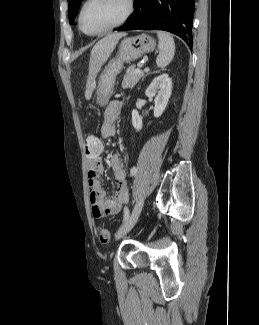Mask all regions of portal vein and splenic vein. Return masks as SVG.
<instances>
[{"label": "portal vein and splenic vein", "mask_w": 259, "mask_h": 325, "mask_svg": "<svg viewBox=\"0 0 259 325\" xmlns=\"http://www.w3.org/2000/svg\"><path fill=\"white\" fill-rule=\"evenodd\" d=\"M146 70H148V69L146 68ZM135 71H136V73H141L142 72L139 68H137Z\"/></svg>", "instance_id": "portal-vein-and-splenic-vein-1"}]
</instances>
